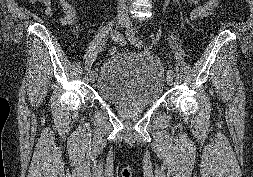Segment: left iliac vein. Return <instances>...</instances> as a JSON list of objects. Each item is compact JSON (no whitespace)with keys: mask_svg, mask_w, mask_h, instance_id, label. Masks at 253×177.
<instances>
[{"mask_svg":"<svg viewBox=\"0 0 253 177\" xmlns=\"http://www.w3.org/2000/svg\"><path fill=\"white\" fill-rule=\"evenodd\" d=\"M125 25H126L127 31H130L132 34H135V32L133 31V28H132V24L128 18H126ZM130 43H132V42L130 41ZM166 80H167V84L169 86H172L174 84V76L173 75H167Z\"/></svg>","mask_w":253,"mask_h":177,"instance_id":"4c4485c4","label":"left iliac vein"}]
</instances>
